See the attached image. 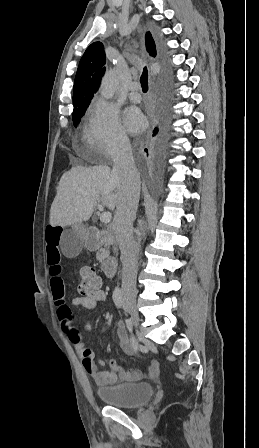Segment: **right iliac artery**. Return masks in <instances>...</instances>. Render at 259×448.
Listing matches in <instances>:
<instances>
[{
    "label": "right iliac artery",
    "instance_id": "obj_1",
    "mask_svg": "<svg viewBox=\"0 0 259 448\" xmlns=\"http://www.w3.org/2000/svg\"><path fill=\"white\" fill-rule=\"evenodd\" d=\"M113 301L118 308L122 307V304H123L122 293H121L120 288H118V287H116L113 291ZM127 322H129V320H127ZM131 341H132L134 350L137 353V350H138L137 343L135 342L134 339H132Z\"/></svg>",
    "mask_w": 259,
    "mask_h": 448
}]
</instances>
